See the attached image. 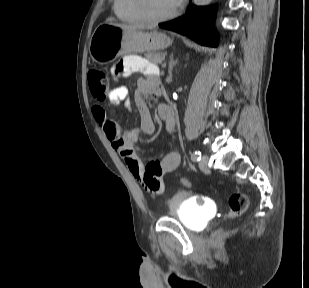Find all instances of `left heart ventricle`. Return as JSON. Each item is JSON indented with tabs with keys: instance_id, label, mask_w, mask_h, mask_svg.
<instances>
[{
	"instance_id": "obj_1",
	"label": "left heart ventricle",
	"mask_w": 309,
	"mask_h": 288,
	"mask_svg": "<svg viewBox=\"0 0 309 288\" xmlns=\"http://www.w3.org/2000/svg\"><path fill=\"white\" fill-rule=\"evenodd\" d=\"M150 6L156 15L167 14L177 7L174 0H150Z\"/></svg>"
}]
</instances>
